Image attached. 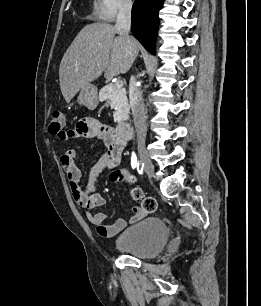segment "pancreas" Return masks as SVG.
I'll list each match as a JSON object with an SVG mask.
<instances>
[{"mask_svg": "<svg viewBox=\"0 0 261 306\" xmlns=\"http://www.w3.org/2000/svg\"><path fill=\"white\" fill-rule=\"evenodd\" d=\"M125 88H117L115 84H109L99 91V99L106 100L114 109V121L122 122L129 117V104Z\"/></svg>", "mask_w": 261, "mask_h": 306, "instance_id": "pancreas-1", "label": "pancreas"}]
</instances>
